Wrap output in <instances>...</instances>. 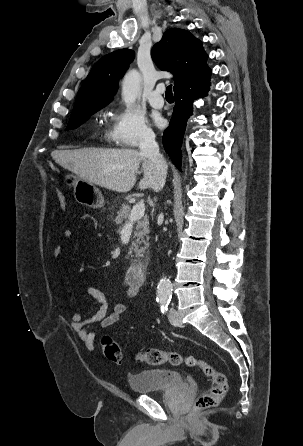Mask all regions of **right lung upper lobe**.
Wrapping results in <instances>:
<instances>
[{"mask_svg":"<svg viewBox=\"0 0 303 446\" xmlns=\"http://www.w3.org/2000/svg\"><path fill=\"white\" fill-rule=\"evenodd\" d=\"M151 56L161 70L176 75L174 91L211 74L201 41L183 29H168L152 48ZM133 58L132 50L120 49L98 60L78 92L72 114L106 106Z\"/></svg>","mask_w":303,"mask_h":446,"instance_id":"1","label":"right lung upper lobe"}]
</instances>
